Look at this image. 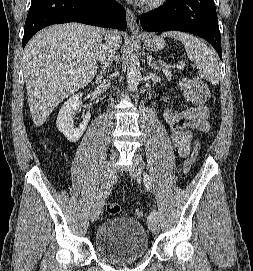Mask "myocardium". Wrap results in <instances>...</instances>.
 Masks as SVG:
<instances>
[{
    "label": "myocardium",
    "mask_w": 253,
    "mask_h": 271,
    "mask_svg": "<svg viewBox=\"0 0 253 271\" xmlns=\"http://www.w3.org/2000/svg\"><path fill=\"white\" fill-rule=\"evenodd\" d=\"M167 0H146L145 7L147 9H157L163 6Z\"/></svg>",
    "instance_id": "myocardium-1"
}]
</instances>
